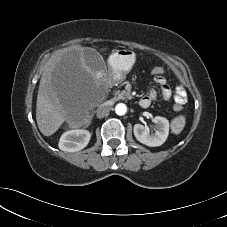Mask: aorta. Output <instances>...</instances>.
<instances>
[{"label":"aorta","instance_id":"1","mask_svg":"<svg viewBox=\"0 0 227 227\" xmlns=\"http://www.w3.org/2000/svg\"><path fill=\"white\" fill-rule=\"evenodd\" d=\"M115 112L119 116L125 115L127 112V106L124 103H119L115 107Z\"/></svg>","mask_w":227,"mask_h":227}]
</instances>
